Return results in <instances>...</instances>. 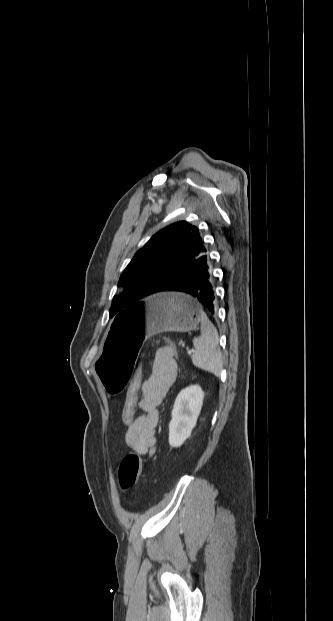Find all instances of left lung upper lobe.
I'll return each mask as SVG.
<instances>
[{
	"mask_svg": "<svg viewBox=\"0 0 333 621\" xmlns=\"http://www.w3.org/2000/svg\"><path fill=\"white\" fill-rule=\"evenodd\" d=\"M205 251L207 247L198 228L186 221L173 223L157 232L135 254L122 273L118 285H132L135 291L128 296L113 298L110 317L158 293Z\"/></svg>",
	"mask_w": 333,
	"mask_h": 621,
	"instance_id": "1",
	"label": "left lung upper lobe"
}]
</instances>
